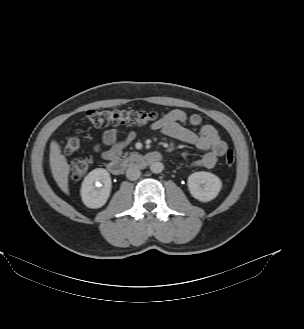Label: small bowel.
<instances>
[{
  "label": "small bowel",
  "mask_w": 304,
  "mask_h": 329,
  "mask_svg": "<svg viewBox=\"0 0 304 329\" xmlns=\"http://www.w3.org/2000/svg\"><path fill=\"white\" fill-rule=\"evenodd\" d=\"M185 124L198 129H189L184 126ZM152 128L159 130L169 138L194 145L203 151V155L190 164L191 167L208 169L214 167L218 158L224 155L228 148L213 125L203 124L201 115L197 113L188 114L182 109L170 110ZM134 138L135 133L133 131L110 128L104 132L95 148L104 160L118 159Z\"/></svg>",
  "instance_id": "c3829d8e"
}]
</instances>
